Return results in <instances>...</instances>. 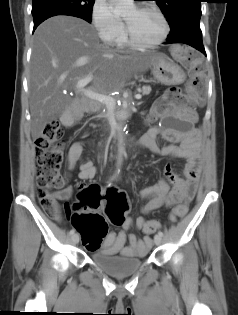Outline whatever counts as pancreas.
I'll return each instance as SVG.
<instances>
[{"label": "pancreas", "mask_w": 238, "mask_h": 315, "mask_svg": "<svg viewBox=\"0 0 238 315\" xmlns=\"http://www.w3.org/2000/svg\"><path fill=\"white\" fill-rule=\"evenodd\" d=\"M151 92V87L150 86H143L142 87V94L143 95H148Z\"/></svg>", "instance_id": "obj_1"}]
</instances>
